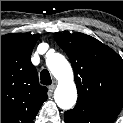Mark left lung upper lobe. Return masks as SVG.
Wrapping results in <instances>:
<instances>
[{
	"label": "left lung upper lobe",
	"instance_id": "1",
	"mask_svg": "<svg viewBox=\"0 0 123 123\" xmlns=\"http://www.w3.org/2000/svg\"><path fill=\"white\" fill-rule=\"evenodd\" d=\"M73 66L77 105L117 117L123 106V60L97 39L82 33H55Z\"/></svg>",
	"mask_w": 123,
	"mask_h": 123
}]
</instances>
